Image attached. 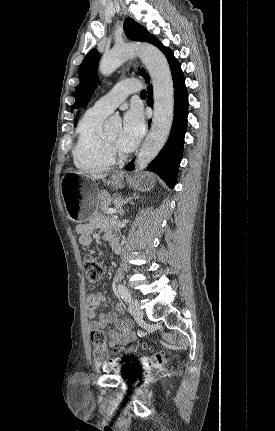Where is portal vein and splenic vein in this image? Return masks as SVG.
<instances>
[{
    "mask_svg": "<svg viewBox=\"0 0 275 431\" xmlns=\"http://www.w3.org/2000/svg\"><path fill=\"white\" fill-rule=\"evenodd\" d=\"M105 213L106 214H116L117 210L114 208H109V209L105 210Z\"/></svg>",
    "mask_w": 275,
    "mask_h": 431,
    "instance_id": "18ae733b",
    "label": "portal vein and splenic vein"
}]
</instances>
